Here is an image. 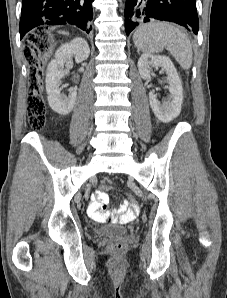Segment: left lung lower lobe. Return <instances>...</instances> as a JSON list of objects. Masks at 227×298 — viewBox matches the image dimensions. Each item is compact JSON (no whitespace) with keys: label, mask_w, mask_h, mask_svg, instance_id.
<instances>
[{"label":"left lung lower lobe","mask_w":227,"mask_h":298,"mask_svg":"<svg viewBox=\"0 0 227 298\" xmlns=\"http://www.w3.org/2000/svg\"><path fill=\"white\" fill-rule=\"evenodd\" d=\"M153 20L172 21L197 34L199 20L196 0H126V34L140 23Z\"/></svg>","instance_id":"obj_1"}]
</instances>
